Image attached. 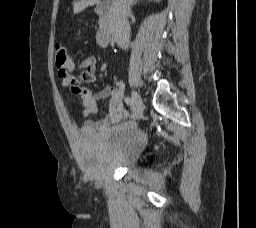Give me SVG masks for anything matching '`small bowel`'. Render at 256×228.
Instances as JSON below:
<instances>
[{"mask_svg":"<svg viewBox=\"0 0 256 228\" xmlns=\"http://www.w3.org/2000/svg\"><path fill=\"white\" fill-rule=\"evenodd\" d=\"M58 76L62 86L69 95L79 101L84 110L82 116L86 117L97 112V102L103 98L111 97V107L108 113L100 120H87L80 129L83 134L107 132L113 125L126 117V111L122 105V92L119 87L106 86L99 91L83 86V84L93 83L97 80V61L94 56H87L80 62H76L71 56L62 66H57ZM80 68L79 76H74L73 71Z\"/></svg>","mask_w":256,"mask_h":228,"instance_id":"c3829d8e","label":"small bowel"}]
</instances>
